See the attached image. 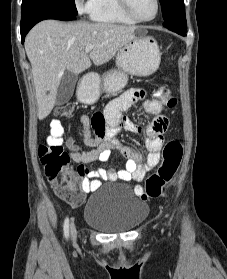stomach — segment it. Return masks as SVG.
Returning a JSON list of instances; mask_svg holds the SVG:
<instances>
[{
  "label": "stomach",
  "mask_w": 227,
  "mask_h": 279,
  "mask_svg": "<svg viewBox=\"0 0 227 279\" xmlns=\"http://www.w3.org/2000/svg\"><path fill=\"white\" fill-rule=\"evenodd\" d=\"M161 52L156 40L146 36V30L138 28L135 38L126 43L116 55V70L103 76L102 81H85L80 84L77 97L85 104L95 103L101 93L113 94L122 90L129 75L149 76L159 67Z\"/></svg>",
  "instance_id": "1"
}]
</instances>
